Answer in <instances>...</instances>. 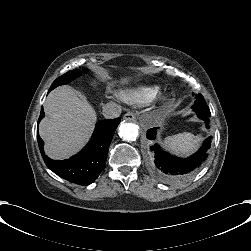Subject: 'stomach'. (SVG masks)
Listing matches in <instances>:
<instances>
[{"label": "stomach", "instance_id": "obj_1", "mask_svg": "<svg viewBox=\"0 0 251 251\" xmlns=\"http://www.w3.org/2000/svg\"><path fill=\"white\" fill-rule=\"evenodd\" d=\"M171 111L172 109H160L158 111V118L155 124L158 127V131H167L175 121L176 114Z\"/></svg>", "mask_w": 251, "mask_h": 251}]
</instances>
